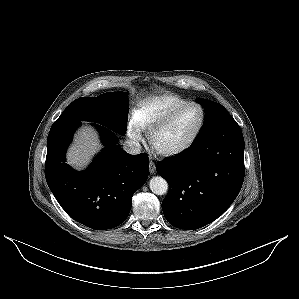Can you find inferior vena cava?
I'll list each match as a JSON object with an SVG mask.
<instances>
[{"label": "inferior vena cava", "mask_w": 299, "mask_h": 299, "mask_svg": "<svg viewBox=\"0 0 299 299\" xmlns=\"http://www.w3.org/2000/svg\"><path fill=\"white\" fill-rule=\"evenodd\" d=\"M123 149L131 155H137L141 153V145L139 142L127 140L123 144Z\"/></svg>", "instance_id": "1"}]
</instances>
